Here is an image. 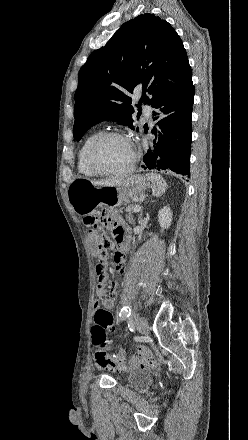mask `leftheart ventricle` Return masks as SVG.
I'll list each match as a JSON object with an SVG mask.
<instances>
[{"instance_id": "1", "label": "left heart ventricle", "mask_w": 248, "mask_h": 440, "mask_svg": "<svg viewBox=\"0 0 248 440\" xmlns=\"http://www.w3.org/2000/svg\"><path fill=\"white\" fill-rule=\"evenodd\" d=\"M133 151L128 140L113 137L103 141L94 153L95 165L103 171L116 172L128 166Z\"/></svg>"}]
</instances>
